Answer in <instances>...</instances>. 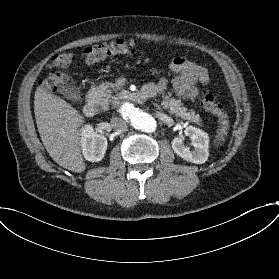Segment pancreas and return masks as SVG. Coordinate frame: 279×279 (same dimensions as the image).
Returning <instances> with one entry per match:
<instances>
[{
  "label": "pancreas",
  "mask_w": 279,
  "mask_h": 279,
  "mask_svg": "<svg viewBox=\"0 0 279 279\" xmlns=\"http://www.w3.org/2000/svg\"><path fill=\"white\" fill-rule=\"evenodd\" d=\"M115 91H118V89L111 82L98 84L95 92L97 93L96 98L100 101V105H109L113 102V93ZM161 99L162 107L168 109L170 114H174L175 117H181L183 120H189L195 124L199 123V117L194 112H187L182 101L173 98L172 92L165 93L162 91Z\"/></svg>",
  "instance_id": "obj_1"
}]
</instances>
